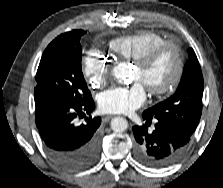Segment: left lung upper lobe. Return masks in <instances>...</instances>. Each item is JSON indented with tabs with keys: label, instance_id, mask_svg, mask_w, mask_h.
<instances>
[{
	"label": "left lung upper lobe",
	"instance_id": "1",
	"mask_svg": "<svg viewBox=\"0 0 223 188\" xmlns=\"http://www.w3.org/2000/svg\"><path fill=\"white\" fill-rule=\"evenodd\" d=\"M179 86L170 98L145 110L143 114L179 128L188 135L195 131L202 112L203 76L192 48Z\"/></svg>",
	"mask_w": 223,
	"mask_h": 188
}]
</instances>
